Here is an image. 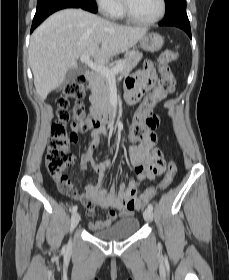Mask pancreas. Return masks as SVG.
Listing matches in <instances>:
<instances>
[{"mask_svg":"<svg viewBox=\"0 0 229 280\" xmlns=\"http://www.w3.org/2000/svg\"><path fill=\"white\" fill-rule=\"evenodd\" d=\"M142 53L139 51H129L124 59L117 61V64L124 62V67L120 71L121 75H127L142 59ZM115 66H112L113 68ZM92 94L90 101L97 112L106 113L111 111L110 104V86L109 79L100 73H96L93 81L90 83Z\"/></svg>","mask_w":229,"mask_h":280,"instance_id":"obj_1","label":"pancreas"}]
</instances>
